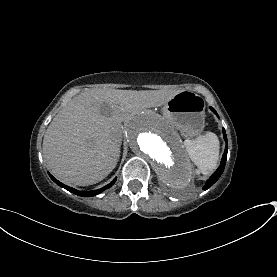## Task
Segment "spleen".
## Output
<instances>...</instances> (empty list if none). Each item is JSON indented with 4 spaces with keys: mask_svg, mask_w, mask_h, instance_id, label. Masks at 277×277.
Listing matches in <instances>:
<instances>
[{
    "mask_svg": "<svg viewBox=\"0 0 277 277\" xmlns=\"http://www.w3.org/2000/svg\"><path fill=\"white\" fill-rule=\"evenodd\" d=\"M185 146L191 160L203 174H209L216 168L219 142L214 133L205 131L193 140L186 139Z\"/></svg>",
    "mask_w": 277,
    "mask_h": 277,
    "instance_id": "spleen-1",
    "label": "spleen"
}]
</instances>
